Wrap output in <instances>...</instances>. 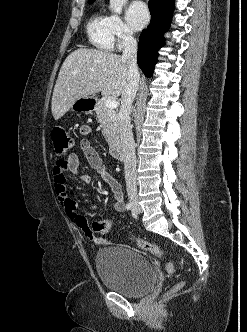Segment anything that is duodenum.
Listing matches in <instances>:
<instances>
[{
  "mask_svg": "<svg viewBox=\"0 0 247 332\" xmlns=\"http://www.w3.org/2000/svg\"><path fill=\"white\" fill-rule=\"evenodd\" d=\"M111 154L114 158L122 160L124 158V149L123 146L119 143L114 144L111 147Z\"/></svg>",
  "mask_w": 247,
  "mask_h": 332,
  "instance_id": "obj_1",
  "label": "duodenum"
}]
</instances>
